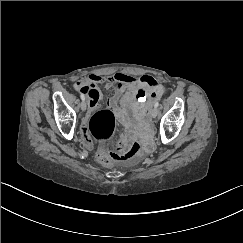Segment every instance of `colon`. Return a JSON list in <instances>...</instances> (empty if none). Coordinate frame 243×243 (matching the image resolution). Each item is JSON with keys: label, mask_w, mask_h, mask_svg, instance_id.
<instances>
[{"label": "colon", "mask_w": 243, "mask_h": 243, "mask_svg": "<svg viewBox=\"0 0 243 243\" xmlns=\"http://www.w3.org/2000/svg\"><path fill=\"white\" fill-rule=\"evenodd\" d=\"M116 118L113 111L104 109L92 115L88 122L89 131L101 143H106L115 130ZM141 151L139 142H133L128 148L118 152H101L98 155L100 162L109 163L110 159L129 161L135 159Z\"/></svg>", "instance_id": "1"}]
</instances>
